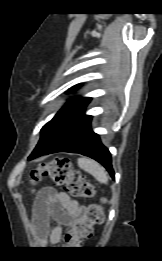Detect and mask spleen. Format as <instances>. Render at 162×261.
Listing matches in <instances>:
<instances>
[{
	"mask_svg": "<svg viewBox=\"0 0 162 261\" xmlns=\"http://www.w3.org/2000/svg\"><path fill=\"white\" fill-rule=\"evenodd\" d=\"M78 166L91 174L98 182L103 184L108 183L107 172L98 162L89 158H79Z\"/></svg>",
	"mask_w": 162,
	"mask_h": 261,
	"instance_id": "3e777b00",
	"label": "spleen"
}]
</instances>
